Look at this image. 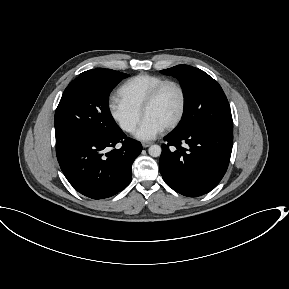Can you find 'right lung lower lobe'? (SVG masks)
Returning <instances> with one entry per match:
<instances>
[{
  "label": "right lung lower lobe",
  "instance_id": "obj_1",
  "mask_svg": "<svg viewBox=\"0 0 289 289\" xmlns=\"http://www.w3.org/2000/svg\"><path fill=\"white\" fill-rule=\"evenodd\" d=\"M117 143L122 146L107 152ZM141 151V143L118 128L56 153L62 172L75 190L92 199H104L129 185L132 164Z\"/></svg>",
  "mask_w": 289,
  "mask_h": 289
}]
</instances>
